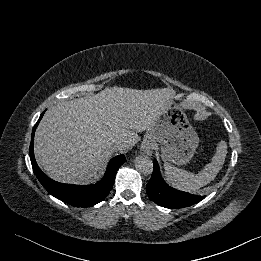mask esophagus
<instances>
[{
  "label": "esophagus",
  "mask_w": 261,
  "mask_h": 261,
  "mask_svg": "<svg viewBox=\"0 0 261 261\" xmlns=\"http://www.w3.org/2000/svg\"><path fill=\"white\" fill-rule=\"evenodd\" d=\"M153 145L149 141H145L141 145V151H143L146 154H150L152 152Z\"/></svg>",
  "instance_id": "1"
}]
</instances>
